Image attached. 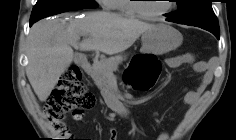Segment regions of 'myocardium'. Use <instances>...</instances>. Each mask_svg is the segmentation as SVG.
<instances>
[{
	"instance_id": "f54148a6",
	"label": "myocardium",
	"mask_w": 236,
	"mask_h": 140,
	"mask_svg": "<svg viewBox=\"0 0 236 140\" xmlns=\"http://www.w3.org/2000/svg\"><path fill=\"white\" fill-rule=\"evenodd\" d=\"M138 1L139 0H136V2H134L131 5V7H132L133 11L135 12V14H137L139 17L144 18V19H158L162 16L167 15L174 8V4H172V2H171L172 0H170L169 6L166 10H164L162 12H158V13H150V12L146 11L144 9L143 5Z\"/></svg>"
}]
</instances>
